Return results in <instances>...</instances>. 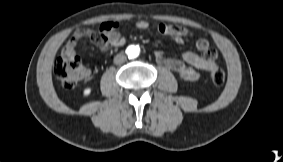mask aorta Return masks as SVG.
I'll use <instances>...</instances> for the list:
<instances>
[{"instance_id": "762f6f07", "label": "aorta", "mask_w": 283, "mask_h": 162, "mask_svg": "<svg viewBox=\"0 0 283 162\" xmlns=\"http://www.w3.org/2000/svg\"><path fill=\"white\" fill-rule=\"evenodd\" d=\"M126 52L130 59L136 58L139 55V47L131 45Z\"/></svg>"}]
</instances>
